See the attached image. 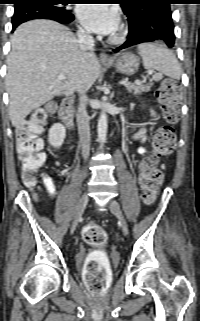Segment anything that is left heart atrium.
Here are the masks:
<instances>
[{"instance_id":"left-heart-atrium-1","label":"left heart atrium","mask_w":200,"mask_h":321,"mask_svg":"<svg viewBox=\"0 0 200 321\" xmlns=\"http://www.w3.org/2000/svg\"><path fill=\"white\" fill-rule=\"evenodd\" d=\"M77 16L86 29L102 35L113 34L119 25L117 11L107 4H82Z\"/></svg>"}]
</instances>
